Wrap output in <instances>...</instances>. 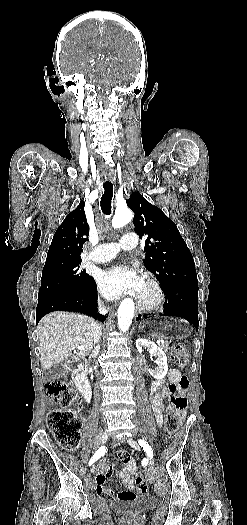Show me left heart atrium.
I'll return each mask as SVG.
<instances>
[{"label":"left heart atrium","mask_w":247,"mask_h":525,"mask_svg":"<svg viewBox=\"0 0 247 525\" xmlns=\"http://www.w3.org/2000/svg\"><path fill=\"white\" fill-rule=\"evenodd\" d=\"M122 259L123 255L118 258L117 264L100 269L97 281L101 289L110 296L117 297L127 293L139 295L142 290V281L136 272V267L123 270Z\"/></svg>","instance_id":"obj_1"}]
</instances>
